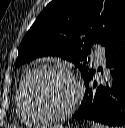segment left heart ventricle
Returning a JSON list of instances; mask_svg holds the SVG:
<instances>
[{
    "instance_id": "b2bd125f",
    "label": "left heart ventricle",
    "mask_w": 125,
    "mask_h": 128,
    "mask_svg": "<svg viewBox=\"0 0 125 128\" xmlns=\"http://www.w3.org/2000/svg\"><path fill=\"white\" fill-rule=\"evenodd\" d=\"M32 105L44 113H59L73 101L75 88L68 77L56 72L35 76L28 89Z\"/></svg>"
}]
</instances>
